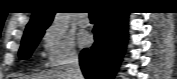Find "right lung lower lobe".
Segmentation results:
<instances>
[{
  "mask_svg": "<svg viewBox=\"0 0 177 79\" xmlns=\"http://www.w3.org/2000/svg\"><path fill=\"white\" fill-rule=\"evenodd\" d=\"M127 22L126 12H100L93 29L94 45L80 54V66L86 79H113L126 47Z\"/></svg>",
  "mask_w": 177,
  "mask_h": 79,
  "instance_id": "right-lung-lower-lobe-1",
  "label": "right lung lower lobe"
}]
</instances>
